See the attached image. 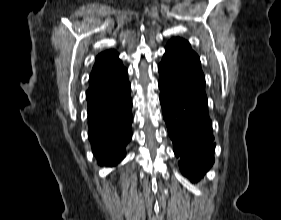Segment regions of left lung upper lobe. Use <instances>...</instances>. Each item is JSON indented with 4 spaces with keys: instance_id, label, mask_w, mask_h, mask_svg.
<instances>
[{
    "instance_id": "obj_1",
    "label": "left lung upper lobe",
    "mask_w": 281,
    "mask_h": 220,
    "mask_svg": "<svg viewBox=\"0 0 281 220\" xmlns=\"http://www.w3.org/2000/svg\"><path fill=\"white\" fill-rule=\"evenodd\" d=\"M165 49H166V51H173V50H176V49H183L185 51L194 52L191 49V45L186 40H184L182 38H179V37L171 39L167 43Z\"/></svg>"
}]
</instances>
